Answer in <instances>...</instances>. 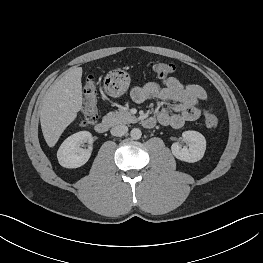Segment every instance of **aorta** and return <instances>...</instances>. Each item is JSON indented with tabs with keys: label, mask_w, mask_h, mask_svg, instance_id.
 <instances>
[{
	"label": "aorta",
	"mask_w": 263,
	"mask_h": 263,
	"mask_svg": "<svg viewBox=\"0 0 263 263\" xmlns=\"http://www.w3.org/2000/svg\"><path fill=\"white\" fill-rule=\"evenodd\" d=\"M130 136L132 139L134 140H138L141 138L142 136V132L139 128H133L130 132Z\"/></svg>",
	"instance_id": "1"
}]
</instances>
